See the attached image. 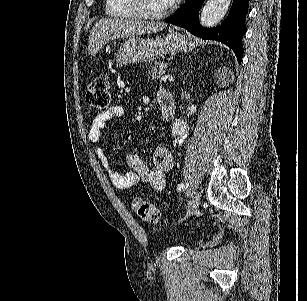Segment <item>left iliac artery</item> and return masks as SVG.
I'll return each mask as SVG.
<instances>
[{
    "mask_svg": "<svg viewBox=\"0 0 307 301\" xmlns=\"http://www.w3.org/2000/svg\"><path fill=\"white\" fill-rule=\"evenodd\" d=\"M184 188H185V184H183V183H180V184L177 185V191L178 192L182 191Z\"/></svg>",
    "mask_w": 307,
    "mask_h": 301,
    "instance_id": "1",
    "label": "left iliac artery"
}]
</instances>
